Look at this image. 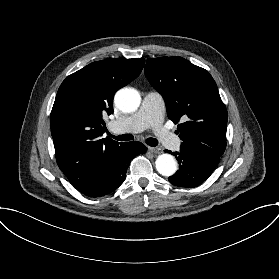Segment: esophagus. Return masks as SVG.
Returning <instances> with one entry per match:
<instances>
[{
	"mask_svg": "<svg viewBox=\"0 0 279 279\" xmlns=\"http://www.w3.org/2000/svg\"><path fill=\"white\" fill-rule=\"evenodd\" d=\"M149 151L154 154L160 153L161 149L158 147H149Z\"/></svg>",
	"mask_w": 279,
	"mask_h": 279,
	"instance_id": "34e87169",
	"label": "esophagus"
}]
</instances>
